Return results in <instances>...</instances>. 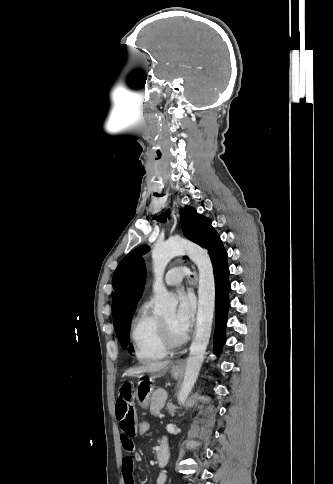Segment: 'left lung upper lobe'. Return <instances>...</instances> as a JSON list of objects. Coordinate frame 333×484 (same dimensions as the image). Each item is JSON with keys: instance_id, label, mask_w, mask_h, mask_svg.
<instances>
[{"instance_id": "left-lung-upper-lobe-1", "label": "left lung upper lobe", "mask_w": 333, "mask_h": 484, "mask_svg": "<svg viewBox=\"0 0 333 484\" xmlns=\"http://www.w3.org/2000/svg\"><path fill=\"white\" fill-rule=\"evenodd\" d=\"M180 221L185 237L190 241L201 245L205 228L207 224L211 222L210 219L198 214L193 207L186 206L184 209L182 208L180 210ZM148 250L149 247L147 245H142L134 249L122 259L113 275V287L118 283V280L121 278L123 270L127 268L128 263L135 257L147 253Z\"/></svg>"}]
</instances>
